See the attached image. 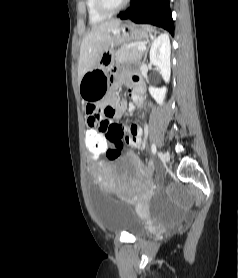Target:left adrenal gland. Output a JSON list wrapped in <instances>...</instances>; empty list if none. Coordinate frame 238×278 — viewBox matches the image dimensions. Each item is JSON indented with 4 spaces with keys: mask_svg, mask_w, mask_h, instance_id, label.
Masks as SVG:
<instances>
[{
    "mask_svg": "<svg viewBox=\"0 0 238 278\" xmlns=\"http://www.w3.org/2000/svg\"><path fill=\"white\" fill-rule=\"evenodd\" d=\"M156 35H157V32H155L154 35L151 37L152 41L156 38ZM149 46H150V43L148 44V47L145 50L144 57H143V62L142 63H144L146 61Z\"/></svg>",
    "mask_w": 238,
    "mask_h": 278,
    "instance_id": "a2214340",
    "label": "left adrenal gland"
}]
</instances>
